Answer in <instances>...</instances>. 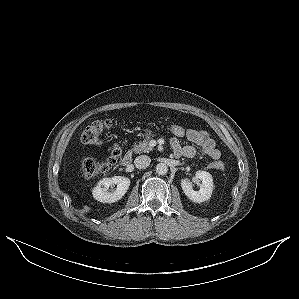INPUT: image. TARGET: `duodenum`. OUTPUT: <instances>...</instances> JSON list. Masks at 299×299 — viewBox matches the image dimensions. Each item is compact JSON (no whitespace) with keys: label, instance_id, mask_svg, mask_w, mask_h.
I'll return each mask as SVG.
<instances>
[{"label":"duodenum","instance_id":"1","mask_svg":"<svg viewBox=\"0 0 299 299\" xmlns=\"http://www.w3.org/2000/svg\"><path fill=\"white\" fill-rule=\"evenodd\" d=\"M132 162V155L131 153H126L122 159H121V165L122 166H128L130 165Z\"/></svg>","mask_w":299,"mask_h":299}]
</instances>
